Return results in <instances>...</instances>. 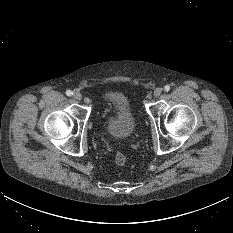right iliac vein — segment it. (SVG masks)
I'll return each instance as SVG.
<instances>
[{"label":"right iliac vein","instance_id":"1","mask_svg":"<svg viewBox=\"0 0 233 233\" xmlns=\"http://www.w3.org/2000/svg\"><path fill=\"white\" fill-rule=\"evenodd\" d=\"M73 97H74V99H76V100H81V99H82V95H81V93L78 92V91L74 92Z\"/></svg>","mask_w":233,"mask_h":233}]
</instances>
